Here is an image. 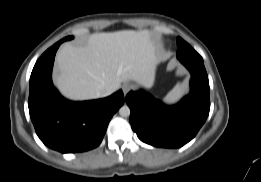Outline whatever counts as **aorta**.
<instances>
[{
	"mask_svg": "<svg viewBox=\"0 0 261 182\" xmlns=\"http://www.w3.org/2000/svg\"><path fill=\"white\" fill-rule=\"evenodd\" d=\"M119 114H120L122 117H128V116L130 115V108H129L127 105L122 106V107L119 109Z\"/></svg>",
	"mask_w": 261,
	"mask_h": 182,
	"instance_id": "1",
	"label": "aorta"
}]
</instances>
